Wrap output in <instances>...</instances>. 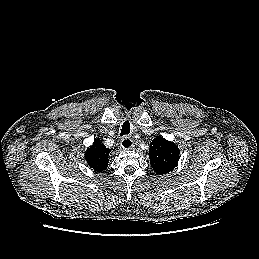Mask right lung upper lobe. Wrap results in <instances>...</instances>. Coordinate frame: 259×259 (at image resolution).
Returning <instances> with one entry per match:
<instances>
[{"label":"right lung upper lobe","mask_w":259,"mask_h":259,"mask_svg":"<svg viewBox=\"0 0 259 259\" xmlns=\"http://www.w3.org/2000/svg\"><path fill=\"white\" fill-rule=\"evenodd\" d=\"M109 153L110 149L106 148L99 139H95L92 146L87 149L85 159L91 168L95 171L102 172L108 166Z\"/></svg>","instance_id":"1"}]
</instances>
